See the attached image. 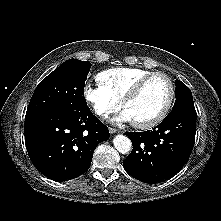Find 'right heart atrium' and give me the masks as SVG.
<instances>
[{
    "label": "right heart atrium",
    "instance_id": "right-heart-atrium-1",
    "mask_svg": "<svg viewBox=\"0 0 221 221\" xmlns=\"http://www.w3.org/2000/svg\"><path fill=\"white\" fill-rule=\"evenodd\" d=\"M86 102L100 118H107L121 107V102L112 97L100 84H86L83 89Z\"/></svg>",
    "mask_w": 221,
    "mask_h": 221
}]
</instances>
